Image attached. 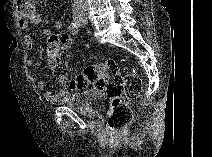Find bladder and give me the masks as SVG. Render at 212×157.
Listing matches in <instances>:
<instances>
[{
	"label": "bladder",
	"instance_id": "bladder-1",
	"mask_svg": "<svg viewBox=\"0 0 212 157\" xmlns=\"http://www.w3.org/2000/svg\"><path fill=\"white\" fill-rule=\"evenodd\" d=\"M106 99L105 93L95 89H84L69 95L65 106L73 111L89 117H95L103 108Z\"/></svg>",
	"mask_w": 212,
	"mask_h": 157
}]
</instances>
